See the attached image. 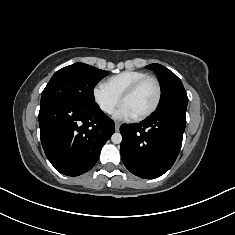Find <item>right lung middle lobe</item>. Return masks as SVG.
<instances>
[{
	"label": "right lung middle lobe",
	"mask_w": 235,
	"mask_h": 235,
	"mask_svg": "<svg viewBox=\"0 0 235 235\" xmlns=\"http://www.w3.org/2000/svg\"><path fill=\"white\" fill-rule=\"evenodd\" d=\"M106 75V71L84 63L66 66L50 79L42 92L41 104L64 101L74 105H96L93 89Z\"/></svg>",
	"instance_id": "obj_1"
}]
</instances>
